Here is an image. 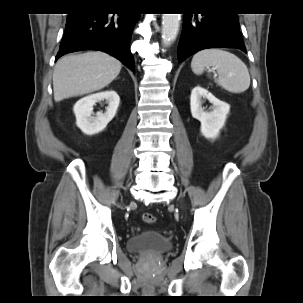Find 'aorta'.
Returning a JSON list of instances; mask_svg holds the SVG:
<instances>
[{
    "label": "aorta",
    "instance_id": "obj_1",
    "mask_svg": "<svg viewBox=\"0 0 303 303\" xmlns=\"http://www.w3.org/2000/svg\"><path fill=\"white\" fill-rule=\"evenodd\" d=\"M180 27V14H163L162 44L167 47L175 41Z\"/></svg>",
    "mask_w": 303,
    "mask_h": 303
}]
</instances>
